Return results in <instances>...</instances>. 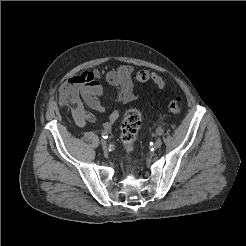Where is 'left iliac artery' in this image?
Returning a JSON list of instances; mask_svg holds the SVG:
<instances>
[{
    "label": "left iliac artery",
    "instance_id": "left-iliac-artery-1",
    "mask_svg": "<svg viewBox=\"0 0 246 246\" xmlns=\"http://www.w3.org/2000/svg\"><path fill=\"white\" fill-rule=\"evenodd\" d=\"M163 133H164V130L161 127L156 129V134L157 135H162Z\"/></svg>",
    "mask_w": 246,
    "mask_h": 246
}]
</instances>
